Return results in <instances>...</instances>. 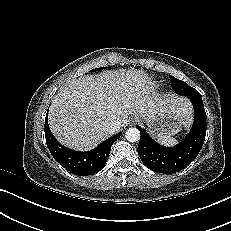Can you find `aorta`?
<instances>
[{"instance_id":"aorta-1","label":"aorta","mask_w":231,"mask_h":231,"mask_svg":"<svg viewBox=\"0 0 231 231\" xmlns=\"http://www.w3.org/2000/svg\"><path fill=\"white\" fill-rule=\"evenodd\" d=\"M125 137L129 142H137L140 139V131L137 128H129L125 133Z\"/></svg>"}]
</instances>
